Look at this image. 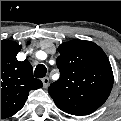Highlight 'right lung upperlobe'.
Here are the masks:
<instances>
[{
    "label": "right lung upper lobe",
    "instance_id": "right-lung-upper-lobe-1",
    "mask_svg": "<svg viewBox=\"0 0 121 121\" xmlns=\"http://www.w3.org/2000/svg\"><path fill=\"white\" fill-rule=\"evenodd\" d=\"M20 49L16 42L1 40V119L17 113L24 106L29 91L43 86L33 77L31 64L16 59Z\"/></svg>",
    "mask_w": 121,
    "mask_h": 121
}]
</instances>
